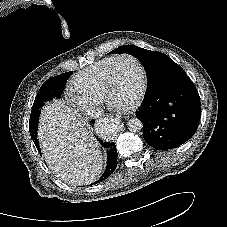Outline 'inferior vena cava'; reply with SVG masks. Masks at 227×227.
<instances>
[{
  "mask_svg": "<svg viewBox=\"0 0 227 227\" xmlns=\"http://www.w3.org/2000/svg\"><path fill=\"white\" fill-rule=\"evenodd\" d=\"M86 114L91 119H97V118L102 116V111H100L98 108L91 107V108L86 110Z\"/></svg>",
  "mask_w": 227,
  "mask_h": 227,
  "instance_id": "602c4592",
  "label": "inferior vena cava"
}]
</instances>
